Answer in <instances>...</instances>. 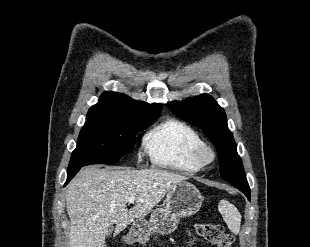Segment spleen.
<instances>
[{"label": "spleen", "mask_w": 310, "mask_h": 247, "mask_svg": "<svg viewBox=\"0 0 310 247\" xmlns=\"http://www.w3.org/2000/svg\"><path fill=\"white\" fill-rule=\"evenodd\" d=\"M218 210L229 230L234 234H238L240 232L241 215L237 208L227 200H221Z\"/></svg>", "instance_id": "3e777b00"}]
</instances>
